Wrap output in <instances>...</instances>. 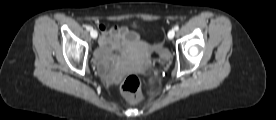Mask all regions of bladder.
<instances>
[{
	"mask_svg": "<svg viewBox=\"0 0 276 120\" xmlns=\"http://www.w3.org/2000/svg\"><path fill=\"white\" fill-rule=\"evenodd\" d=\"M147 50L151 53L154 50V47L152 45H147Z\"/></svg>",
	"mask_w": 276,
	"mask_h": 120,
	"instance_id": "31cf9c89",
	"label": "bladder"
}]
</instances>
